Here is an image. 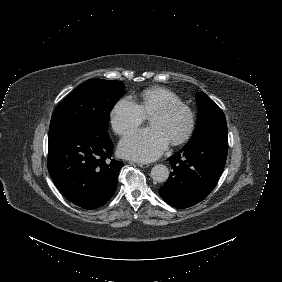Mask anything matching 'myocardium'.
Wrapping results in <instances>:
<instances>
[{"label": "myocardium", "instance_id": "obj_1", "mask_svg": "<svg viewBox=\"0 0 282 282\" xmlns=\"http://www.w3.org/2000/svg\"><path fill=\"white\" fill-rule=\"evenodd\" d=\"M174 112H181L184 114L186 119L185 127L182 131V133L177 136L176 138L170 140V143L173 145H179L185 142L190 135L192 134V131L194 129V115L189 107L184 105L180 102H170L162 107L157 108L154 110L150 115L149 118L153 115H160V116H167Z\"/></svg>", "mask_w": 282, "mask_h": 282}]
</instances>
